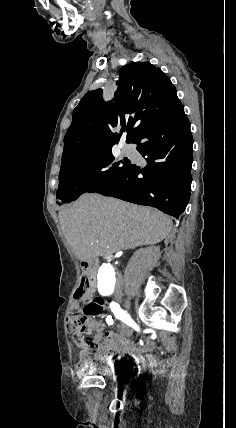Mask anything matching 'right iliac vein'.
I'll return each mask as SVG.
<instances>
[{"label": "right iliac vein", "mask_w": 236, "mask_h": 428, "mask_svg": "<svg viewBox=\"0 0 236 428\" xmlns=\"http://www.w3.org/2000/svg\"><path fill=\"white\" fill-rule=\"evenodd\" d=\"M117 299H118V301H119V302L124 303L126 298H125V296H124V295H122V294H121V295H119V296H118V298H117ZM127 335H128V336H131V335H132V332H131V331H128V332H127ZM127 335L125 334L121 339L124 341V340L128 337Z\"/></svg>", "instance_id": "right-iliac-vein-1"}]
</instances>
